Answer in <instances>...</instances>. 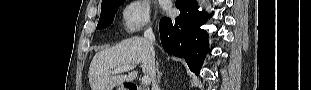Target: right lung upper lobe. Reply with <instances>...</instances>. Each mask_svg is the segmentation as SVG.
I'll use <instances>...</instances> for the list:
<instances>
[{
    "label": "right lung upper lobe",
    "instance_id": "obj_1",
    "mask_svg": "<svg viewBox=\"0 0 311 90\" xmlns=\"http://www.w3.org/2000/svg\"><path fill=\"white\" fill-rule=\"evenodd\" d=\"M108 1H110V0H102V4H104V3L108 2Z\"/></svg>",
    "mask_w": 311,
    "mask_h": 90
}]
</instances>
